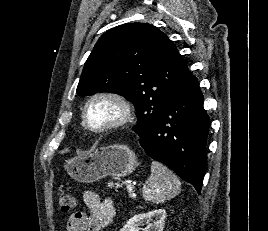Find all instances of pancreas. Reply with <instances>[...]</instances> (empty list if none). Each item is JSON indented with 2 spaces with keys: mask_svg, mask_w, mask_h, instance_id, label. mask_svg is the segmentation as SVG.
Here are the masks:
<instances>
[{
  "mask_svg": "<svg viewBox=\"0 0 268 231\" xmlns=\"http://www.w3.org/2000/svg\"><path fill=\"white\" fill-rule=\"evenodd\" d=\"M114 186H115V190H117L120 187V184H118V183H115V184L111 183L110 184V187H114Z\"/></svg>",
  "mask_w": 268,
  "mask_h": 231,
  "instance_id": "cf45deb5",
  "label": "pancreas"
}]
</instances>
